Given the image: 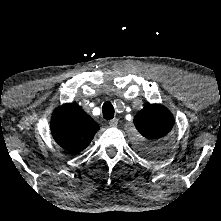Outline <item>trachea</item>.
<instances>
[{"instance_id": "obj_1", "label": "trachea", "mask_w": 221, "mask_h": 221, "mask_svg": "<svg viewBox=\"0 0 221 221\" xmlns=\"http://www.w3.org/2000/svg\"><path fill=\"white\" fill-rule=\"evenodd\" d=\"M102 111L104 119L111 120L114 117V107L109 101L103 104Z\"/></svg>"}]
</instances>
